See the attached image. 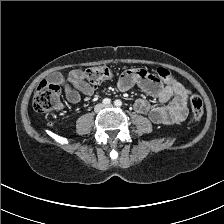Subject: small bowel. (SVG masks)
<instances>
[{"instance_id": "obj_1", "label": "small bowel", "mask_w": 224, "mask_h": 224, "mask_svg": "<svg viewBox=\"0 0 224 224\" xmlns=\"http://www.w3.org/2000/svg\"><path fill=\"white\" fill-rule=\"evenodd\" d=\"M50 82L63 86L67 100L78 103L81 95L91 96L93 87L87 83L82 71L71 70L65 77L54 73ZM138 85L147 95L155 98L157 104H151L145 99L136 100L135 110L146 115L154 124H177L185 119L190 91L178 81L161 84L149 72L142 69L125 71L118 81V88L122 92L131 90Z\"/></svg>"}]
</instances>
